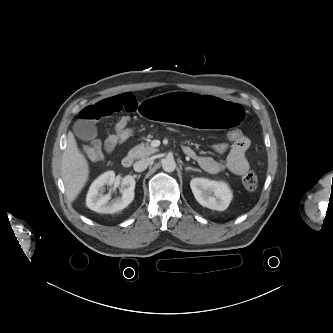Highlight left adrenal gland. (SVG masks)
I'll list each match as a JSON object with an SVG mask.
<instances>
[{
  "mask_svg": "<svg viewBox=\"0 0 333 333\" xmlns=\"http://www.w3.org/2000/svg\"><path fill=\"white\" fill-rule=\"evenodd\" d=\"M185 170H186V171H189V170H192V171H198L197 169L192 168V167H185Z\"/></svg>",
  "mask_w": 333,
  "mask_h": 333,
  "instance_id": "1",
  "label": "left adrenal gland"
}]
</instances>
